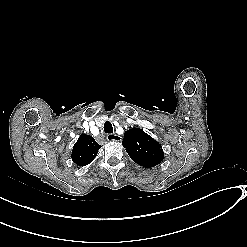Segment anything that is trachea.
<instances>
[{"label": "trachea", "mask_w": 247, "mask_h": 247, "mask_svg": "<svg viewBox=\"0 0 247 247\" xmlns=\"http://www.w3.org/2000/svg\"><path fill=\"white\" fill-rule=\"evenodd\" d=\"M103 131H104V133H108V134L113 133V126H112L111 122L107 121L104 123Z\"/></svg>", "instance_id": "obj_1"}]
</instances>
